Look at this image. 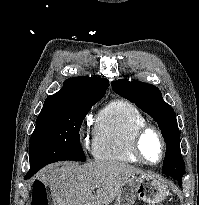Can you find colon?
I'll return each mask as SVG.
<instances>
[{"label":"colon","mask_w":199,"mask_h":205,"mask_svg":"<svg viewBox=\"0 0 199 205\" xmlns=\"http://www.w3.org/2000/svg\"><path fill=\"white\" fill-rule=\"evenodd\" d=\"M32 205H48L47 195L44 188L36 186Z\"/></svg>","instance_id":"5ec220e1"}]
</instances>
